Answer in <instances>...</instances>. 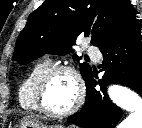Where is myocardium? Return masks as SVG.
Returning <instances> with one entry per match:
<instances>
[{
	"label": "myocardium",
	"instance_id": "1",
	"mask_svg": "<svg viewBox=\"0 0 142 128\" xmlns=\"http://www.w3.org/2000/svg\"><path fill=\"white\" fill-rule=\"evenodd\" d=\"M58 72H67L73 77L75 86H76V98L73 105L68 110L63 112H52L45 107L43 102V96H44V91L46 89L48 81L54 74ZM84 99H85V85H84L83 79L80 73L78 72V70L75 67L68 64L51 65L40 76L36 84L35 102H36L37 108L44 115L51 118L61 119L74 114L82 106Z\"/></svg>",
	"mask_w": 142,
	"mask_h": 128
}]
</instances>
